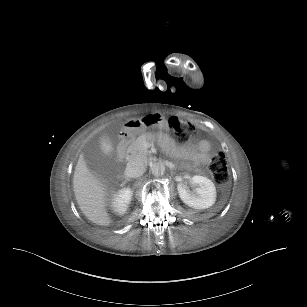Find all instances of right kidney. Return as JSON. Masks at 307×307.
I'll list each match as a JSON object with an SVG mask.
<instances>
[{
    "label": "right kidney",
    "mask_w": 307,
    "mask_h": 307,
    "mask_svg": "<svg viewBox=\"0 0 307 307\" xmlns=\"http://www.w3.org/2000/svg\"><path fill=\"white\" fill-rule=\"evenodd\" d=\"M132 190L130 188H122L113 195L111 200V209L118 215L126 213L132 197Z\"/></svg>",
    "instance_id": "1"
}]
</instances>
